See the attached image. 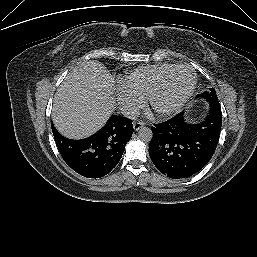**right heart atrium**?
<instances>
[{"mask_svg": "<svg viewBox=\"0 0 257 257\" xmlns=\"http://www.w3.org/2000/svg\"><path fill=\"white\" fill-rule=\"evenodd\" d=\"M117 98L122 111L129 117L135 116L145 106L143 98L125 88L120 89Z\"/></svg>", "mask_w": 257, "mask_h": 257, "instance_id": "obj_1", "label": "right heart atrium"}]
</instances>
